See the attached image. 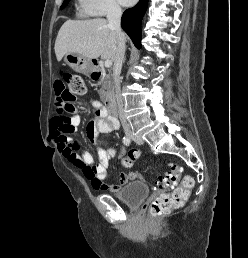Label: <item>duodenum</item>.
<instances>
[{
    "instance_id": "duodenum-1",
    "label": "duodenum",
    "mask_w": 248,
    "mask_h": 258,
    "mask_svg": "<svg viewBox=\"0 0 248 258\" xmlns=\"http://www.w3.org/2000/svg\"><path fill=\"white\" fill-rule=\"evenodd\" d=\"M93 77L97 79L99 77V73L97 70L93 72ZM106 110L107 113L111 116V118L115 119L117 115V107L114 97H109L106 101Z\"/></svg>"
}]
</instances>
